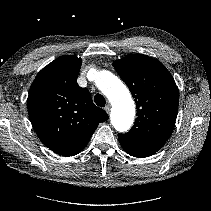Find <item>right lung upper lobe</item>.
<instances>
[{
    "mask_svg": "<svg viewBox=\"0 0 211 211\" xmlns=\"http://www.w3.org/2000/svg\"><path fill=\"white\" fill-rule=\"evenodd\" d=\"M82 61L64 55L43 68L32 83L27 108L32 126L50 150L73 156L85 148L107 113L77 84Z\"/></svg>",
    "mask_w": 211,
    "mask_h": 211,
    "instance_id": "obj_1",
    "label": "right lung upper lobe"
}]
</instances>
